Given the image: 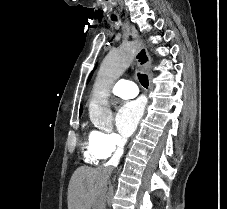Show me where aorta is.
<instances>
[{"mask_svg":"<svg viewBox=\"0 0 227 209\" xmlns=\"http://www.w3.org/2000/svg\"><path fill=\"white\" fill-rule=\"evenodd\" d=\"M137 46L134 42L123 44L104 58L94 84V96L89 105L92 120L110 113L106 97L114 81L130 66Z\"/></svg>","mask_w":227,"mask_h":209,"instance_id":"762f6f07","label":"aorta"}]
</instances>
